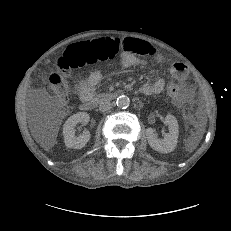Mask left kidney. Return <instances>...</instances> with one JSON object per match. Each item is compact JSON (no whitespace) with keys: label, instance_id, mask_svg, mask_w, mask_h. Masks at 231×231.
Returning a JSON list of instances; mask_svg holds the SVG:
<instances>
[{"label":"left kidney","instance_id":"obj_1","mask_svg":"<svg viewBox=\"0 0 231 231\" xmlns=\"http://www.w3.org/2000/svg\"><path fill=\"white\" fill-rule=\"evenodd\" d=\"M165 124L168 125L169 133L164 135V139L157 138L152 128L146 130L149 145L152 149L161 153L172 152L176 148L179 135L178 122L173 115L169 114L165 117Z\"/></svg>","mask_w":231,"mask_h":231}]
</instances>
